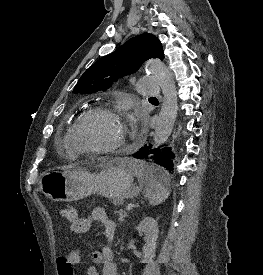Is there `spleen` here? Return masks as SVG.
<instances>
[{"label": "spleen", "instance_id": "obj_1", "mask_svg": "<svg viewBox=\"0 0 263 275\" xmlns=\"http://www.w3.org/2000/svg\"><path fill=\"white\" fill-rule=\"evenodd\" d=\"M126 162L129 170L137 177L139 184L144 185V193L150 205H159L168 198V189L161 181L149 174L151 168L141 161L126 159Z\"/></svg>", "mask_w": 263, "mask_h": 275}]
</instances>
